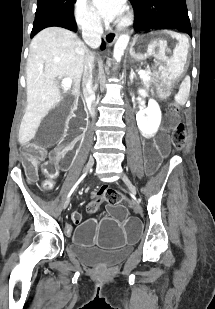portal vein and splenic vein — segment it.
<instances>
[{"mask_svg": "<svg viewBox=\"0 0 215 309\" xmlns=\"http://www.w3.org/2000/svg\"><path fill=\"white\" fill-rule=\"evenodd\" d=\"M138 74H139L140 78H143V80H145L146 70H139ZM61 82H62V84H64V86H71L72 78H62Z\"/></svg>", "mask_w": 215, "mask_h": 309, "instance_id": "portal-vein-and-splenic-vein-1", "label": "portal vein and splenic vein"}]
</instances>
